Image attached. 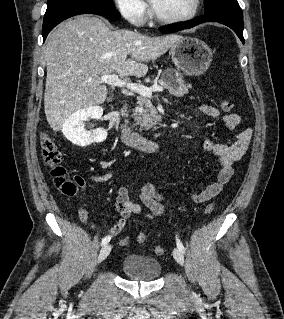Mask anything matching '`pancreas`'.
Returning a JSON list of instances; mask_svg holds the SVG:
<instances>
[{"label": "pancreas", "mask_w": 284, "mask_h": 319, "mask_svg": "<svg viewBox=\"0 0 284 319\" xmlns=\"http://www.w3.org/2000/svg\"><path fill=\"white\" fill-rule=\"evenodd\" d=\"M169 71L175 73V77L170 79L166 75ZM160 83L163 88L175 96H184L188 93L191 86L183 80V77L177 73L176 70H167L163 73L160 80L154 81ZM156 109L152 102L144 96L137 97V106L134 110V119L137 124L146 129L151 128L156 123Z\"/></svg>", "instance_id": "1"}]
</instances>
